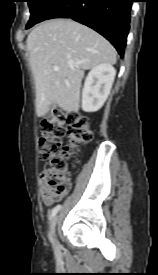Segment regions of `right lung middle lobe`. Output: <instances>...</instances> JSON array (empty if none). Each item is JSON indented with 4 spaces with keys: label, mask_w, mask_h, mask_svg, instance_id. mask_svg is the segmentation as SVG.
<instances>
[{
    "label": "right lung middle lobe",
    "mask_w": 158,
    "mask_h": 275,
    "mask_svg": "<svg viewBox=\"0 0 158 275\" xmlns=\"http://www.w3.org/2000/svg\"><path fill=\"white\" fill-rule=\"evenodd\" d=\"M31 17L26 26V29L32 27L42 18L44 13L48 10V8L56 1V0H27Z\"/></svg>",
    "instance_id": "obj_1"
}]
</instances>
